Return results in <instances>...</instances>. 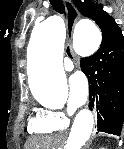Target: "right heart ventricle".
<instances>
[{
    "mask_svg": "<svg viewBox=\"0 0 124 149\" xmlns=\"http://www.w3.org/2000/svg\"><path fill=\"white\" fill-rule=\"evenodd\" d=\"M45 113V111L34 116L28 125V131L37 135H50L62 129Z\"/></svg>",
    "mask_w": 124,
    "mask_h": 149,
    "instance_id": "obj_1",
    "label": "right heart ventricle"
}]
</instances>
